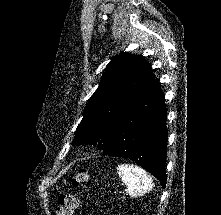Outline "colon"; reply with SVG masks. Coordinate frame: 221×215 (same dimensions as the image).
Masks as SVG:
<instances>
[{"label":"colon","mask_w":221,"mask_h":215,"mask_svg":"<svg viewBox=\"0 0 221 215\" xmlns=\"http://www.w3.org/2000/svg\"><path fill=\"white\" fill-rule=\"evenodd\" d=\"M87 179V172L85 169H80L75 172L71 178L74 186H79L85 183ZM78 206V200L72 193L61 194L58 198V205L55 215H73Z\"/></svg>","instance_id":"1"}]
</instances>
